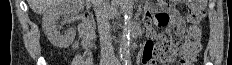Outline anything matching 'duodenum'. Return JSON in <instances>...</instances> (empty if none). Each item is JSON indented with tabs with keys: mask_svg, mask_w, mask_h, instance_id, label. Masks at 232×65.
<instances>
[{
	"mask_svg": "<svg viewBox=\"0 0 232 65\" xmlns=\"http://www.w3.org/2000/svg\"><path fill=\"white\" fill-rule=\"evenodd\" d=\"M81 34L85 40H90L93 35L92 20L87 17L81 25Z\"/></svg>",
	"mask_w": 232,
	"mask_h": 65,
	"instance_id": "410a0bca",
	"label": "duodenum"
}]
</instances>
